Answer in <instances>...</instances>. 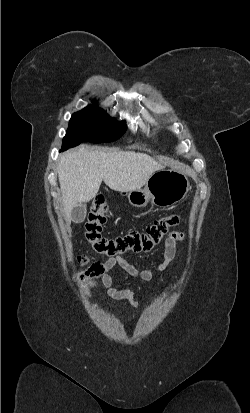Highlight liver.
Segmentation results:
<instances>
[{
	"label": "liver",
	"mask_w": 250,
	"mask_h": 413,
	"mask_svg": "<svg viewBox=\"0 0 250 413\" xmlns=\"http://www.w3.org/2000/svg\"><path fill=\"white\" fill-rule=\"evenodd\" d=\"M164 164L151 156L134 151L104 152L87 146L63 153L59 159L58 178L66 221L74 207L89 202L102 181L115 191L140 188Z\"/></svg>",
	"instance_id": "6515ba94"
}]
</instances>
